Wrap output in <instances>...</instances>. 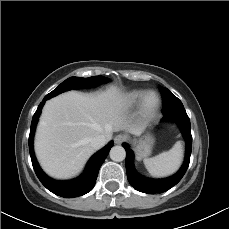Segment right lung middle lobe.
<instances>
[{"label":"right lung middle lobe","mask_w":229,"mask_h":229,"mask_svg":"<svg viewBox=\"0 0 229 229\" xmlns=\"http://www.w3.org/2000/svg\"><path fill=\"white\" fill-rule=\"evenodd\" d=\"M108 79L103 76H93L89 78H81V77H70L64 82H62L56 89L47 94L45 98L50 99L62 92L68 91L70 89L77 88H88L97 86L103 82H107Z\"/></svg>","instance_id":"obj_1"}]
</instances>
